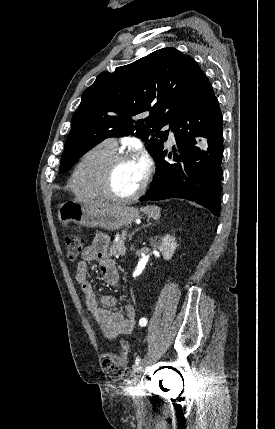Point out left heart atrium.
I'll use <instances>...</instances> for the list:
<instances>
[{
    "mask_svg": "<svg viewBox=\"0 0 275 429\" xmlns=\"http://www.w3.org/2000/svg\"><path fill=\"white\" fill-rule=\"evenodd\" d=\"M137 162L139 164V167L141 169L143 177H145V175L147 173V170H148V161H147V158L144 155H142V156H140L137 159Z\"/></svg>",
    "mask_w": 275,
    "mask_h": 429,
    "instance_id": "obj_1",
    "label": "left heart atrium"
}]
</instances>
